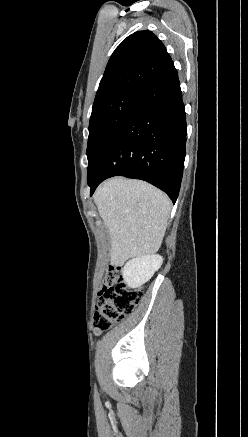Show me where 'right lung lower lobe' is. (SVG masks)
I'll return each instance as SVG.
<instances>
[{"label":"right lung lower lobe","instance_id":"obj_1","mask_svg":"<svg viewBox=\"0 0 248 437\" xmlns=\"http://www.w3.org/2000/svg\"><path fill=\"white\" fill-rule=\"evenodd\" d=\"M187 125L178 73L171 62L135 99L88 172L90 195L105 179H142L175 203L182 180Z\"/></svg>","mask_w":248,"mask_h":437}]
</instances>
